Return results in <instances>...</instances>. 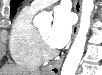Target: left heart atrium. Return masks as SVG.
<instances>
[{
	"mask_svg": "<svg viewBox=\"0 0 102 75\" xmlns=\"http://www.w3.org/2000/svg\"><path fill=\"white\" fill-rule=\"evenodd\" d=\"M71 13L64 6L54 11V20L49 33V42L54 48L64 47L70 40L73 26Z\"/></svg>",
	"mask_w": 102,
	"mask_h": 75,
	"instance_id": "1",
	"label": "left heart atrium"
}]
</instances>
